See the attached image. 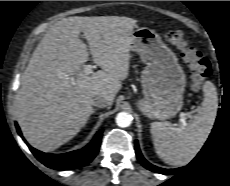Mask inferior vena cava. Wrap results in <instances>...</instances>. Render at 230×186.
Returning a JSON list of instances; mask_svg holds the SVG:
<instances>
[{"label":"inferior vena cava","instance_id":"obj_1","mask_svg":"<svg viewBox=\"0 0 230 186\" xmlns=\"http://www.w3.org/2000/svg\"><path fill=\"white\" fill-rule=\"evenodd\" d=\"M92 104L99 108L107 107L110 102L107 96L105 95H97L92 98Z\"/></svg>","mask_w":230,"mask_h":186}]
</instances>
